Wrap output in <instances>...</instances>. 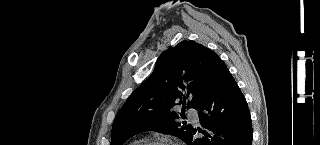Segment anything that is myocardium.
Instances as JSON below:
<instances>
[{"label": "myocardium", "mask_w": 320, "mask_h": 145, "mask_svg": "<svg viewBox=\"0 0 320 145\" xmlns=\"http://www.w3.org/2000/svg\"><path fill=\"white\" fill-rule=\"evenodd\" d=\"M140 145H170V143L164 140H151V141H145Z\"/></svg>", "instance_id": "myocardium-1"}]
</instances>
